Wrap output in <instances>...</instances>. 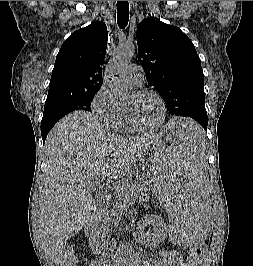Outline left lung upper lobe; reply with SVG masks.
Listing matches in <instances>:
<instances>
[{"label": "left lung upper lobe", "instance_id": "1", "mask_svg": "<svg viewBox=\"0 0 253 266\" xmlns=\"http://www.w3.org/2000/svg\"><path fill=\"white\" fill-rule=\"evenodd\" d=\"M136 38L147 81L160 93L171 115L191 117L206 127L204 75L192 41L178 27L156 17L139 24Z\"/></svg>", "mask_w": 253, "mask_h": 266}]
</instances>
